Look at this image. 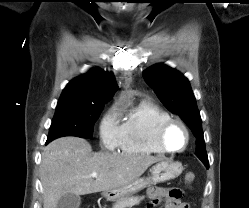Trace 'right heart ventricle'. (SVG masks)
Wrapping results in <instances>:
<instances>
[{
  "label": "right heart ventricle",
  "instance_id": "right-heart-ventricle-1",
  "mask_svg": "<svg viewBox=\"0 0 249 208\" xmlns=\"http://www.w3.org/2000/svg\"><path fill=\"white\" fill-rule=\"evenodd\" d=\"M170 118L165 109L146 100L138 102L121 125L122 152L134 155L164 153L156 144L155 135L159 125Z\"/></svg>",
  "mask_w": 249,
  "mask_h": 208
}]
</instances>
